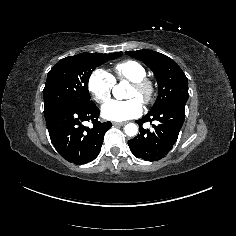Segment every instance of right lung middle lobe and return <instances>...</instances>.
<instances>
[{
	"mask_svg": "<svg viewBox=\"0 0 236 236\" xmlns=\"http://www.w3.org/2000/svg\"><path fill=\"white\" fill-rule=\"evenodd\" d=\"M121 54L82 53L61 59L47 75L43 90L44 108L58 103L82 107L93 103L88 92L92 71Z\"/></svg>",
	"mask_w": 236,
	"mask_h": 236,
	"instance_id": "right-lung-middle-lobe-1",
	"label": "right lung middle lobe"
}]
</instances>
